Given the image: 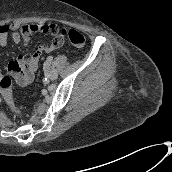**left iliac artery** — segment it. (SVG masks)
I'll use <instances>...</instances> for the list:
<instances>
[{"label":"left iliac artery","mask_w":172,"mask_h":172,"mask_svg":"<svg viewBox=\"0 0 172 172\" xmlns=\"http://www.w3.org/2000/svg\"><path fill=\"white\" fill-rule=\"evenodd\" d=\"M47 60L51 62V61L53 60V57H52V56H49V57L47 58Z\"/></svg>","instance_id":"obj_1"}]
</instances>
